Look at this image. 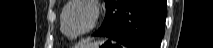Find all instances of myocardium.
<instances>
[{
  "instance_id": "myocardium-1",
  "label": "myocardium",
  "mask_w": 213,
  "mask_h": 48,
  "mask_svg": "<svg viewBox=\"0 0 213 48\" xmlns=\"http://www.w3.org/2000/svg\"><path fill=\"white\" fill-rule=\"evenodd\" d=\"M77 4H84V5H87L88 7H90L93 11V18H92V22L91 24L89 25V27L80 32V33H69L66 31L65 29V16H66V13L68 11L69 8H71L72 6L74 5H77ZM100 8L98 7L97 3L95 1H92V0H73V1H70L62 10V13H61V30L62 32L69 38H79V37H82L84 36L85 34L91 32L98 24V21L100 19Z\"/></svg>"
}]
</instances>
